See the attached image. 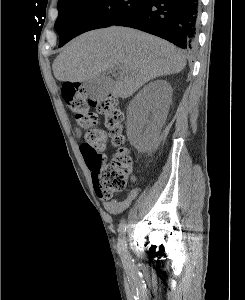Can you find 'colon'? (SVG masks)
Here are the masks:
<instances>
[{"mask_svg": "<svg viewBox=\"0 0 245 300\" xmlns=\"http://www.w3.org/2000/svg\"><path fill=\"white\" fill-rule=\"evenodd\" d=\"M61 92L74 112L76 122L85 131L80 150L92 172L95 190L100 198L111 199L125 189L133 173L130 154L121 147L125 140L124 116L118 101L113 96L92 100L79 83L65 84ZM91 107L104 117L105 131L96 126L97 114L90 110ZM108 138L119 147L110 160H106L102 153Z\"/></svg>", "mask_w": 245, "mask_h": 300, "instance_id": "colon-1", "label": "colon"}]
</instances>
